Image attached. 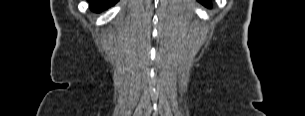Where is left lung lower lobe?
<instances>
[{"instance_id":"0a47b994","label":"left lung lower lobe","mask_w":305,"mask_h":116,"mask_svg":"<svg viewBox=\"0 0 305 116\" xmlns=\"http://www.w3.org/2000/svg\"><path fill=\"white\" fill-rule=\"evenodd\" d=\"M200 2H201L204 6H206V7H211V5H210V3H209L208 0H200Z\"/></svg>"}]
</instances>
